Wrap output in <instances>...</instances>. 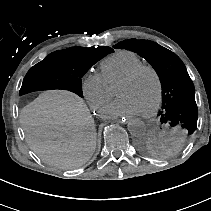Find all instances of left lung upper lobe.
<instances>
[{"mask_svg": "<svg viewBox=\"0 0 211 211\" xmlns=\"http://www.w3.org/2000/svg\"><path fill=\"white\" fill-rule=\"evenodd\" d=\"M114 48L136 52L152 65L162 86L160 122L172 130L176 140H187L196 129L198 108L193 82L181 59L150 40H124Z\"/></svg>", "mask_w": 211, "mask_h": 211, "instance_id": "obj_1", "label": "left lung upper lobe"}]
</instances>
